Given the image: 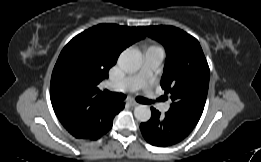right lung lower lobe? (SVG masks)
<instances>
[{
  "label": "right lung lower lobe",
  "mask_w": 261,
  "mask_h": 162,
  "mask_svg": "<svg viewBox=\"0 0 261 162\" xmlns=\"http://www.w3.org/2000/svg\"><path fill=\"white\" fill-rule=\"evenodd\" d=\"M123 108H124V103L120 102L117 113H119L120 110H122ZM114 116L110 120H108L106 123H104V124L100 125L98 128H96L91 136L85 137L83 139L96 140V139L100 138L103 134L107 133L112 127V121H113Z\"/></svg>",
  "instance_id": "obj_1"
}]
</instances>
